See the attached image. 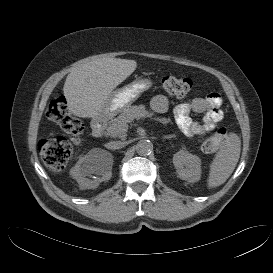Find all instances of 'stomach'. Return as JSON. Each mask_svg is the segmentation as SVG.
<instances>
[{"instance_id": "obj_1", "label": "stomach", "mask_w": 273, "mask_h": 273, "mask_svg": "<svg viewBox=\"0 0 273 273\" xmlns=\"http://www.w3.org/2000/svg\"><path fill=\"white\" fill-rule=\"evenodd\" d=\"M152 86L149 79H138L115 90L109 97V113L113 116L129 107L138 97Z\"/></svg>"}]
</instances>
